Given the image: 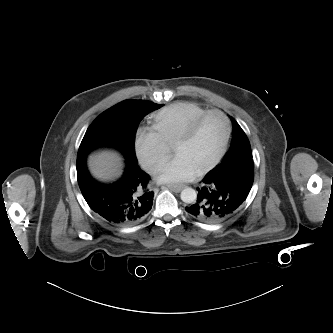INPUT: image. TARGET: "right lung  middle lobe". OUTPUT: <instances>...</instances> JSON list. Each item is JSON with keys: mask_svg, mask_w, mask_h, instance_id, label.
<instances>
[{"mask_svg": "<svg viewBox=\"0 0 333 333\" xmlns=\"http://www.w3.org/2000/svg\"><path fill=\"white\" fill-rule=\"evenodd\" d=\"M161 106L145 100H125L106 110L87 129L78 156L86 157L92 150L105 146L119 150L127 161L137 163L135 131L145 115Z\"/></svg>", "mask_w": 333, "mask_h": 333, "instance_id": "1", "label": "right lung middle lobe"}]
</instances>
